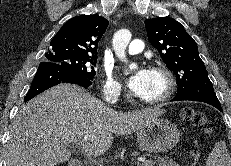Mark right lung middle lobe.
<instances>
[{"mask_svg":"<svg viewBox=\"0 0 231 166\" xmlns=\"http://www.w3.org/2000/svg\"><path fill=\"white\" fill-rule=\"evenodd\" d=\"M46 62H50L56 65L65 67L75 73H78L90 80H93L96 72L94 66H96L97 57L90 56H58L47 55Z\"/></svg>","mask_w":231,"mask_h":166,"instance_id":"obj_1","label":"right lung middle lobe"}]
</instances>
